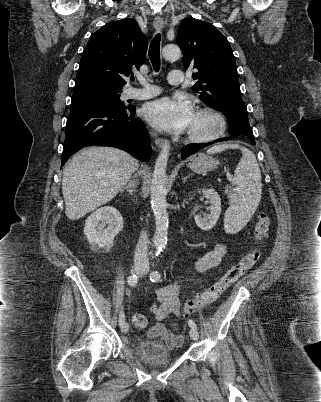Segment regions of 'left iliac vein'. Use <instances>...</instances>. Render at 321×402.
I'll use <instances>...</instances> for the list:
<instances>
[{"mask_svg": "<svg viewBox=\"0 0 321 402\" xmlns=\"http://www.w3.org/2000/svg\"><path fill=\"white\" fill-rule=\"evenodd\" d=\"M144 274H145V271H143V272L141 273V275H144ZM190 338H191L192 340H194V341L198 340V338H199V333H198V331H197L196 329H191V330H190Z\"/></svg>", "mask_w": 321, "mask_h": 402, "instance_id": "4c4485c4", "label": "left iliac vein"}]
</instances>
